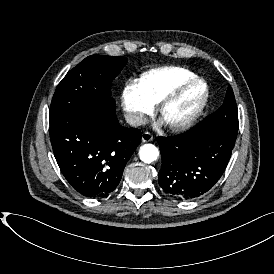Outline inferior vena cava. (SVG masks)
Segmentation results:
<instances>
[{"instance_id": "602c4592", "label": "inferior vena cava", "mask_w": 274, "mask_h": 274, "mask_svg": "<svg viewBox=\"0 0 274 274\" xmlns=\"http://www.w3.org/2000/svg\"><path fill=\"white\" fill-rule=\"evenodd\" d=\"M124 117L126 122L133 127L143 126L146 122L144 115L141 113H126Z\"/></svg>"}]
</instances>
